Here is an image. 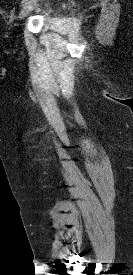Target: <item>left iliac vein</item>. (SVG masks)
<instances>
[{
  "label": "left iliac vein",
  "instance_id": "4c4485c4",
  "mask_svg": "<svg viewBox=\"0 0 133 275\" xmlns=\"http://www.w3.org/2000/svg\"><path fill=\"white\" fill-rule=\"evenodd\" d=\"M38 0H27V2L22 6L19 18L24 19L35 7Z\"/></svg>",
  "mask_w": 133,
  "mask_h": 275
}]
</instances>
